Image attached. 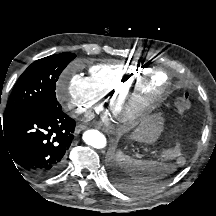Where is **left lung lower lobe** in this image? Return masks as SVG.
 Segmentation results:
<instances>
[{
  "mask_svg": "<svg viewBox=\"0 0 216 216\" xmlns=\"http://www.w3.org/2000/svg\"><path fill=\"white\" fill-rule=\"evenodd\" d=\"M125 172V171H124ZM114 182L125 190H137L139 186L133 181V179L125 172H115L113 174Z\"/></svg>",
  "mask_w": 216,
  "mask_h": 216,
  "instance_id": "obj_1",
  "label": "left lung lower lobe"
}]
</instances>
